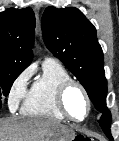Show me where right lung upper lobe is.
I'll return each instance as SVG.
<instances>
[{
    "mask_svg": "<svg viewBox=\"0 0 119 141\" xmlns=\"http://www.w3.org/2000/svg\"><path fill=\"white\" fill-rule=\"evenodd\" d=\"M35 15L31 8L0 13V71L27 68L33 57Z\"/></svg>",
    "mask_w": 119,
    "mask_h": 141,
    "instance_id": "obj_1",
    "label": "right lung upper lobe"
}]
</instances>
